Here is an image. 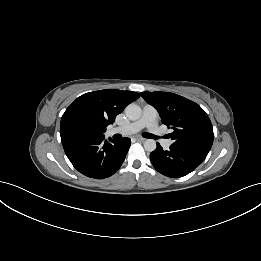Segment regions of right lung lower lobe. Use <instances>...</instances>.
<instances>
[{"instance_id":"1","label":"right lung lower lobe","mask_w":261,"mask_h":261,"mask_svg":"<svg viewBox=\"0 0 261 261\" xmlns=\"http://www.w3.org/2000/svg\"><path fill=\"white\" fill-rule=\"evenodd\" d=\"M105 140L98 137L68 136L61 138L64 151L72 165L83 175L104 179L113 175L122 165L131 141Z\"/></svg>"}]
</instances>
